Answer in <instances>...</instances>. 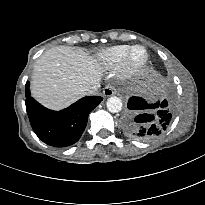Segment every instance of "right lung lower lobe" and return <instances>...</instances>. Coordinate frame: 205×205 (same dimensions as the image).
Returning a JSON list of instances; mask_svg holds the SVG:
<instances>
[{"mask_svg":"<svg viewBox=\"0 0 205 205\" xmlns=\"http://www.w3.org/2000/svg\"><path fill=\"white\" fill-rule=\"evenodd\" d=\"M26 110L36 135L46 144L66 147L81 137L89 113L103 100L100 96H86L61 111H52L30 96L29 82L25 87Z\"/></svg>","mask_w":205,"mask_h":205,"instance_id":"obj_1","label":"right lung lower lobe"}]
</instances>
